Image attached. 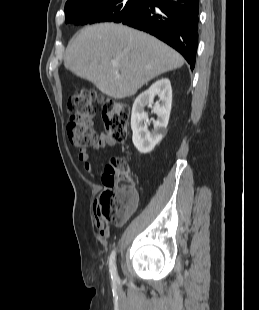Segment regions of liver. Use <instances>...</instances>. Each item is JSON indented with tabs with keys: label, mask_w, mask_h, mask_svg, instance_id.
Here are the masks:
<instances>
[{
	"label": "liver",
	"mask_w": 259,
	"mask_h": 310,
	"mask_svg": "<svg viewBox=\"0 0 259 310\" xmlns=\"http://www.w3.org/2000/svg\"><path fill=\"white\" fill-rule=\"evenodd\" d=\"M183 64V57L157 38L114 23L81 29L64 57L66 69L114 99L136 94L153 78Z\"/></svg>",
	"instance_id": "1"
}]
</instances>
